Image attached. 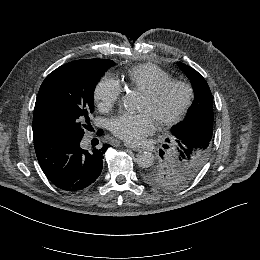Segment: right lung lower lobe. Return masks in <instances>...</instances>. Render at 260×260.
I'll use <instances>...</instances> for the list:
<instances>
[{"mask_svg": "<svg viewBox=\"0 0 260 260\" xmlns=\"http://www.w3.org/2000/svg\"><path fill=\"white\" fill-rule=\"evenodd\" d=\"M81 139H57L35 146L38 162L47 178L67 192H78L97 180L103 168V154L109 147L104 144L101 148L85 150L80 146Z\"/></svg>", "mask_w": 260, "mask_h": 260, "instance_id": "obj_1", "label": "right lung lower lobe"}]
</instances>
